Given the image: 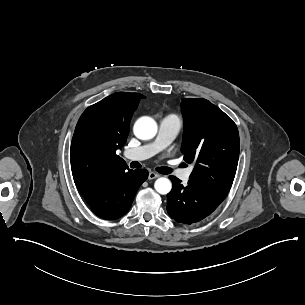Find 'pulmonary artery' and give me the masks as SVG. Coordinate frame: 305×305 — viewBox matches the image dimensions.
I'll return each mask as SVG.
<instances>
[{
  "label": "pulmonary artery",
  "instance_id": "pulmonary-artery-1",
  "mask_svg": "<svg viewBox=\"0 0 305 305\" xmlns=\"http://www.w3.org/2000/svg\"><path fill=\"white\" fill-rule=\"evenodd\" d=\"M180 130V121L176 116L169 115L160 120L159 129L156 138L143 146L130 149L125 156L128 159H146L158 152L162 151L168 145H170L176 138ZM171 170L176 175H180L182 180H188L193 171V167H189L182 172H176L173 164H170Z\"/></svg>",
  "mask_w": 305,
  "mask_h": 305
}]
</instances>
